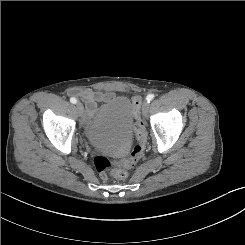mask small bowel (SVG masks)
<instances>
[{"label": "small bowel", "mask_w": 245, "mask_h": 245, "mask_svg": "<svg viewBox=\"0 0 245 245\" xmlns=\"http://www.w3.org/2000/svg\"><path fill=\"white\" fill-rule=\"evenodd\" d=\"M82 96L86 104V117L88 119L96 114L99 103H106L115 98L113 93L94 91H85Z\"/></svg>", "instance_id": "obj_1"}]
</instances>
